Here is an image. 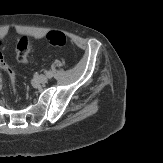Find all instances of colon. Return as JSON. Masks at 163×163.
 Segmentation results:
<instances>
[{
    "instance_id": "1",
    "label": "colon",
    "mask_w": 163,
    "mask_h": 163,
    "mask_svg": "<svg viewBox=\"0 0 163 163\" xmlns=\"http://www.w3.org/2000/svg\"><path fill=\"white\" fill-rule=\"evenodd\" d=\"M47 42L54 47H62L66 44V36L60 31H51L46 36ZM31 42L28 38H22L16 46V58L21 63L30 61ZM0 68L4 70L12 84L16 77L12 68L5 61L0 47Z\"/></svg>"
}]
</instances>
